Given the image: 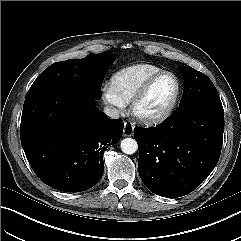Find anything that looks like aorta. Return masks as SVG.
Listing matches in <instances>:
<instances>
[{
  "label": "aorta",
  "mask_w": 241,
  "mask_h": 241,
  "mask_svg": "<svg viewBox=\"0 0 241 241\" xmlns=\"http://www.w3.org/2000/svg\"><path fill=\"white\" fill-rule=\"evenodd\" d=\"M121 150L125 154H133L138 149L137 141L133 138H125L121 141Z\"/></svg>",
  "instance_id": "762f6f07"
}]
</instances>
